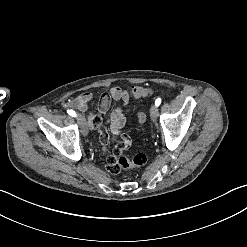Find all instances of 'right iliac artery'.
Instances as JSON below:
<instances>
[{
	"label": "right iliac artery",
	"instance_id": "obj_1",
	"mask_svg": "<svg viewBox=\"0 0 247 247\" xmlns=\"http://www.w3.org/2000/svg\"><path fill=\"white\" fill-rule=\"evenodd\" d=\"M67 113H68L70 116H72V117H76V116H77L76 113H75V111H73V110H67Z\"/></svg>",
	"mask_w": 247,
	"mask_h": 247
}]
</instances>
